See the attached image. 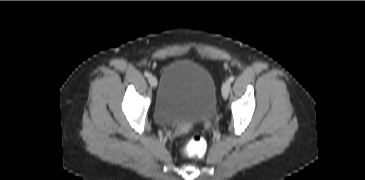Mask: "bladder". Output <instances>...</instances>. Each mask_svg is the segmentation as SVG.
<instances>
[{"instance_id":"bladder-1","label":"bladder","mask_w":365,"mask_h":180,"mask_svg":"<svg viewBox=\"0 0 365 180\" xmlns=\"http://www.w3.org/2000/svg\"><path fill=\"white\" fill-rule=\"evenodd\" d=\"M217 106V86L209 70L186 59L168 64L158 86L153 115L166 127L209 120Z\"/></svg>"}]
</instances>
